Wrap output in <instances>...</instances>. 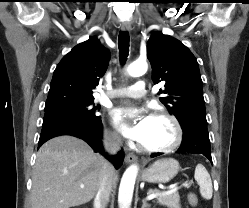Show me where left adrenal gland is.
Instances as JSON below:
<instances>
[{"instance_id": "a2214340", "label": "left adrenal gland", "mask_w": 249, "mask_h": 208, "mask_svg": "<svg viewBox=\"0 0 249 208\" xmlns=\"http://www.w3.org/2000/svg\"><path fill=\"white\" fill-rule=\"evenodd\" d=\"M151 204L147 203L146 199L142 200V207L141 208H150Z\"/></svg>"}]
</instances>
